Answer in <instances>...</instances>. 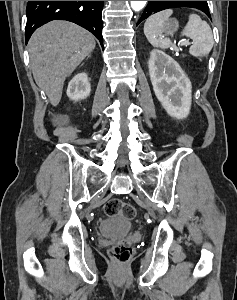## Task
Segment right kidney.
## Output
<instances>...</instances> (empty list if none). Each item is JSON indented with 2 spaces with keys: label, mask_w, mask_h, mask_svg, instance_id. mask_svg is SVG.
<instances>
[{
  "label": "right kidney",
  "mask_w": 237,
  "mask_h": 300,
  "mask_svg": "<svg viewBox=\"0 0 237 300\" xmlns=\"http://www.w3.org/2000/svg\"><path fill=\"white\" fill-rule=\"evenodd\" d=\"M91 87L86 73H78L70 81L67 89V97L71 101H80L90 95Z\"/></svg>",
  "instance_id": "right-kidney-1"
}]
</instances>
